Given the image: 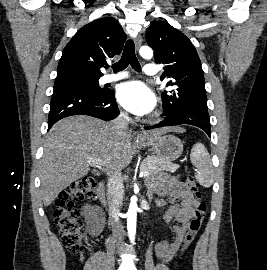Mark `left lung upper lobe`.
<instances>
[{
  "label": "left lung upper lobe",
  "mask_w": 267,
  "mask_h": 270,
  "mask_svg": "<svg viewBox=\"0 0 267 270\" xmlns=\"http://www.w3.org/2000/svg\"><path fill=\"white\" fill-rule=\"evenodd\" d=\"M146 40L154 50L155 62L164 65L163 80L175 89L161 94L164 112L185 108L208 110L201 61L191 41L169 23L157 21L146 30Z\"/></svg>",
  "instance_id": "1"
}]
</instances>
